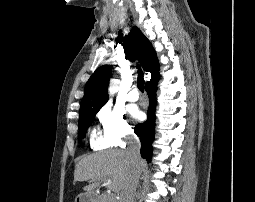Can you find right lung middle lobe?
<instances>
[{
	"mask_svg": "<svg viewBox=\"0 0 255 202\" xmlns=\"http://www.w3.org/2000/svg\"><path fill=\"white\" fill-rule=\"evenodd\" d=\"M99 109H89L79 112V129H81L82 137H85L87 126L90 125Z\"/></svg>",
	"mask_w": 255,
	"mask_h": 202,
	"instance_id": "right-lung-middle-lobe-1",
	"label": "right lung middle lobe"
}]
</instances>
